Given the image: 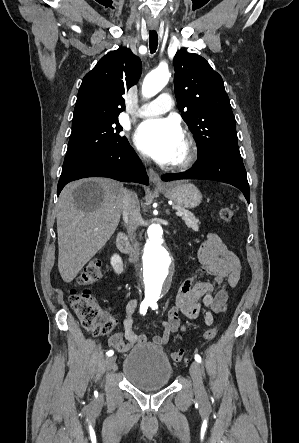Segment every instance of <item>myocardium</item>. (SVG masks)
Returning a JSON list of instances; mask_svg holds the SVG:
<instances>
[{
    "label": "myocardium",
    "instance_id": "f54148a6",
    "mask_svg": "<svg viewBox=\"0 0 299 443\" xmlns=\"http://www.w3.org/2000/svg\"><path fill=\"white\" fill-rule=\"evenodd\" d=\"M186 142L187 151L185 156L174 163L169 164V167L174 170H185L193 165L198 155V148L195 139L190 134H186L184 137Z\"/></svg>",
    "mask_w": 299,
    "mask_h": 443
}]
</instances>
